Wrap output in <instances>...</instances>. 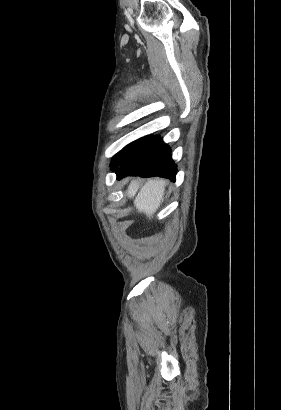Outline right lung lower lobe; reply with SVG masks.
Wrapping results in <instances>:
<instances>
[{"label":"right lung lower lobe","instance_id":"obj_1","mask_svg":"<svg viewBox=\"0 0 281 410\" xmlns=\"http://www.w3.org/2000/svg\"><path fill=\"white\" fill-rule=\"evenodd\" d=\"M113 171L117 174V179L134 175L159 176L175 181L177 167L172 160L170 147L159 136L149 135Z\"/></svg>","mask_w":281,"mask_h":410}]
</instances>
